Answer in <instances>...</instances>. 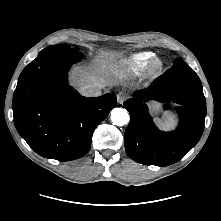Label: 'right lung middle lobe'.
<instances>
[{"mask_svg":"<svg viewBox=\"0 0 221 221\" xmlns=\"http://www.w3.org/2000/svg\"><path fill=\"white\" fill-rule=\"evenodd\" d=\"M45 51H58V52H78L77 48H70L66 45H53L44 49Z\"/></svg>","mask_w":221,"mask_h":221,"instance_id":"obj_1","label":"right lung middle lobe"}]
</instances>
